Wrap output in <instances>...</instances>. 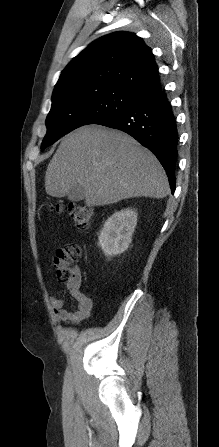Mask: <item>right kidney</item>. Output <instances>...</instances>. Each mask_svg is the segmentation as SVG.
Returning <instances> with one entry per match:
<instances>
[{
  "label": "right kidney",
  "instance_id": "right-kidney-1",
  "mask_svg": "<svg viewBox=\"0 0 219 447\" xmlns=\"http://www.w3.org/2000/svg\"><path fill=\"white\" fill-rule=\"evenodd\" d=\"M137 212L127 208L115 212L104 223L99 235V246L106 256H115L128 249L135 227Z\"/></svg>",
  "mask_w": 219,
  "mask_h": 447
}]
</instances>
